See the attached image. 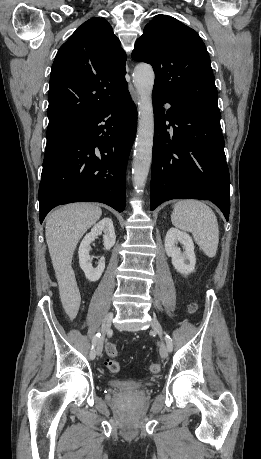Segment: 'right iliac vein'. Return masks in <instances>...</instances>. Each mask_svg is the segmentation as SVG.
Listing matches in <instances>:
<instances>
[{"label": "right iliac vein", "mask_w": 261, "mask_h": 459, "mask_svg": "<svg viewBox=\"0 0 261 459\" xmlns=\"http://www.w3.org/2000/svg\"><path fill=\"white\" fill-rule=\"evenodd\" d=\"M113 321V313H108L105 318L103 319L102 322V336L99 338L97 342V347H96V354L99 356L102 353L103 350V342H104V335L105 333L109 330L111 327Z\"/></svg>", "instance_id": "obj_1"}]
</instances>
